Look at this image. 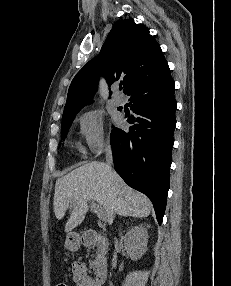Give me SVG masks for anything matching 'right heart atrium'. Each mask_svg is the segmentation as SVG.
Masks as SVG:
<instances>
[{"label": "right heart atrium", "mask_w": 231, "mask_h": 286, "mask_svg": "<svg viewBox=\"0 0 231 286\" xmlns=\"http://www.w3.org/2000/svg\"><path fill=\"white\" fill-rule=\"evenodd\" d=\"M80 134L87 151L98 153L108 144L104 131L102 115L93 109L83 112L78 117Z\"/></svg>", "instance_id": "obj_1"}]
</instances>
